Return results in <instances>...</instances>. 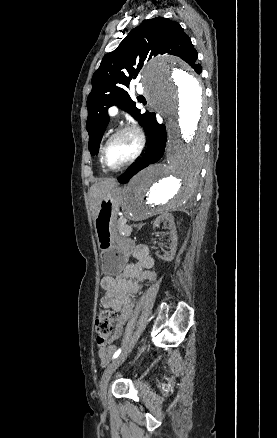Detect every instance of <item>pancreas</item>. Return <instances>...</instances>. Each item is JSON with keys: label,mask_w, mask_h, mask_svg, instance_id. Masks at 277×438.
Listing matches in <instances>:
<instances>
[{"label": "pancreas", "mask_w": 277, "mask_h": 438, "mask_svg": "<svg viewBox=\"0 0 277 438\" xmlns=\"http://www.w3.org/2000/svg\"><path fill=\"white\" fill-rule=\"evenodd\" d=\"M132 229L133 228L131 224H124L123 228H121V230H123L124 233H131Z\"/></svg>", "instance_id": "cf45deb5"}]
</instances>
